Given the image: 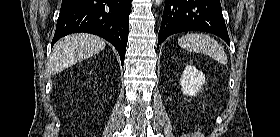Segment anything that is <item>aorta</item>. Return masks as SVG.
I'll return each instance as SVG.
<instances>
[{
  "instance_id": "1",
  "label": "aorta",
  "mask_w": 280,
  "mask_h": 137,
  "mask_svg": "<svg viewBox=\"0 0 280 137\" xmlns=\"http://www.w3.org/2000/svg\"><path fill=\"white\" fill-rule=\"evenodd\" d=\"M162 3V0H155L156 5H160Z\"/></svg>"
}]
</instances>
